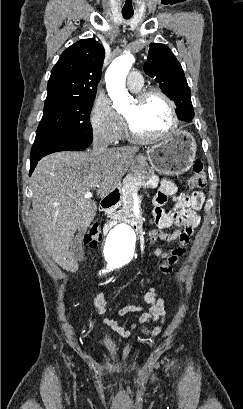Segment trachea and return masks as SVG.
<instances>
[{"label":"trachea","instance_id":"obj_1","mask_svg":"<svg viewBox=\"0 0 243 409\" xmlns=\"http://www.w3.org/2000/svg\"><path fill=\"white\" fill-rule=\"evenodd\" d=\"M122 15H123V17H124L125 19H129V18H131V17L133 16V12H125V11H122Z\"/></svg>","mask_w":243,"mask_h":409}]
</instances>
